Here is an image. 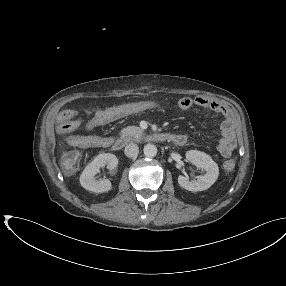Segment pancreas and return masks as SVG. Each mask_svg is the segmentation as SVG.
I'll return each instance as SVG.
<instances>
[{
  "label": "pancreas",
  "mask_w": 286,
  "mask_h": 286,
  "mask_svg": "<svg viewBox=\"0 0 286 286\" xmlns=\"http://www.w3.org/2000/svg\"><path fill=\"white\" fill-rule=\"evenodd\" d=\"M144 131L137 126H127L120 131V138L124 142H131L140 139Z\"/></svg>",
  "instance_id": "pancreas-1"
}]
</instances>
